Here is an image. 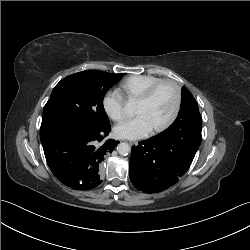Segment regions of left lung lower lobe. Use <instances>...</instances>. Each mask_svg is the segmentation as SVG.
<instances>
[{
	"instance_id": "0a47b994",
	"label": "left lung lower lobe",
	"mask_w": 250,
	"mask_h": 250,
	"mask_svg": "<svg viewBox=\"0 0 250 250\" xmlns=\"http://www.w3.org/2000/svg\"><path fill=\"white\" fill-rule=\"evenodd\" d=\"M202 120H178L131 149L130 180L144 193L174 185L190 167L201 143Z\"/></svg>"
}]
</instances>
